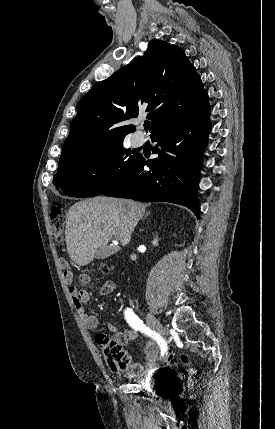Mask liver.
<instances>
[{
  "instance_id": "6515ba94",
  "label": "liver",
  "mask_w": 275,
  "mask_h": 429,
  "mask_svg": "<svg viewBox=\"0 0 275 429\" xmlns=\"http://www.w3.org/2000/svg\"><path fill=\"white\" fill-rule=\"evenodd\" d=\"M146 207L132 200L104 196L75 203L66 219L65 236L70 258L85 266L113 237L126 246Z\"/></svg>"
}]
</instances>
